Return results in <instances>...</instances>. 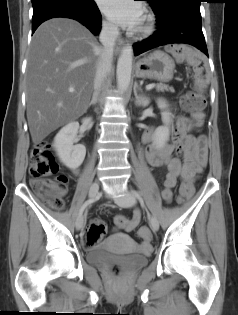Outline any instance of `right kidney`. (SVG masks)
Segmentation results:
<instances>
[{
	"instance_id": "ca27d5eb",
	"label": "right kidney",
	"mask_w": 238,
	"mask_h": 315,
	"mask_svg": "<svg viewBox=\"0 0 238 315\" xmlns=\"http://www.w3.org/2000/svg\"><path fill=\"white\" fill-rule=\"evenodd\" d=\"M86 118L83 123H88ZM79 129L78 122H71L64 126L55 136L53 147L57 152L60 161L70 169L78 168L84 161L86 148L82 144H76V137Z\"/></svg>"
}]
</instances>
